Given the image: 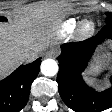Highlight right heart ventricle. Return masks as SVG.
I'll list each match as a JSON object with an SVG mask.
<instances>
[{
    "mask_svg": "<svg viewBox=\"0 0 112 112\" xmlns=\"http://www.w3.org/2000/svg\"><path fill=\"white\" fill-rule=\"evenodd\" d=\"M78 23L79 21L77 18H68L59 24V26L56 29V34L59 36L69 34L77 28Z\"/></svg>",
    "mask_w": 112,
    "mask_h": 112,
    "instance_id": "right-heart-ventricle-1",
    "label": "right heart ventricle"
}]
</instances>
